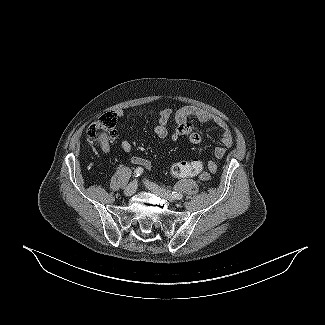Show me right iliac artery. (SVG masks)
I'll return each mask as SVG.
<instances>
[{
    "label": "right iliac artery",
    "instance_id": "82829eb1",
    "mask_svg": "<svg viewBox=\"0 0 325 325\" xmlns=\"http://www.w3.org/2000/svg\"><path fill=\"white\" fill-rule=\"evenodd\" d=\"M143 172H144V169L141 168V167H138V168H136V170L134 171V176H135V177H138V176L142 175Z\"/></svg>",
    "mask_w": 325,
    "mask_h": 325
}]
</instances>
